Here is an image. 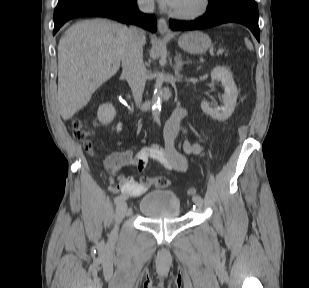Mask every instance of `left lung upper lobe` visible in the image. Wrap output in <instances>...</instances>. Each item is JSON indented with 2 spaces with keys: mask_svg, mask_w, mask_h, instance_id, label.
<instances>
[{
  "mask_svg": "<svg viewBox=\"0 0 309 288\" xmlns=\"http://www.w3.org/2000/svg\"><path fill=\"white\" fill-rule=\"evenodd\" d=\"M218 1H220V0H209V5H213V4L217 3Z\"/></svg>",
  "mask_w": 309,
  "mask_h": 288,
  "instance_id": "left-lung-upper-lobe-1",
  "label": "left lung upper lobe"
}]
</instances>
